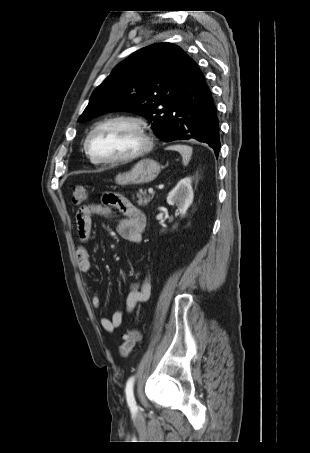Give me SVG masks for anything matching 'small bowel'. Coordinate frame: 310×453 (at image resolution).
Here are the masks:
<instances>
[{
    "label": "small bowel",
    "mask_w": 310,
    "mask_h": 453,
    "mask_svg": "<svg viewBox=\"0 0 310 453\" xmlns=\"http://www.w3.org/2000/svg\"><path fill=\"white\" fill-rule=\"evenodd\" d=\"M104 205L88 204L79 208L76 213V227L79 239L82 243L76 250L78 268L85 276L91 274V261L85 244L91 239V219L93 215L108 214L110 208H115L122 213L117 231L121 238L127 242L138 245L142 241V234L146 226L145 214L119 194H109L104 197ZM91 302L94 308L101 307L100 296L90 290ZM151 295V283L146 275L140 282L131 285L126 298V311L132 313L139 303L145 302ZM123 312L116 311L111 318H102L101 325L107 332H113L123 322Z\"/></svg>",
    "instance_id": "small-bowel-1"
}]
</instances>
